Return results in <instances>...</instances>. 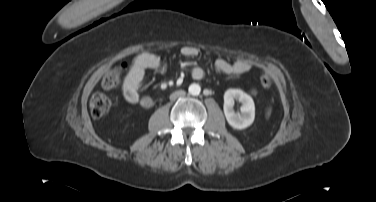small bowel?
Returning a JSON list of instances; mask_svg holds the SVG:
<instances>
[{
    "mask_svg": "<svg viewBox=\"0 0 376 202\" xmlns=\"http://www.w3.org/2000/svg\"><path fill=\"white\" fill-rule=\"evenodd\" d=\"M180 52L181 55L186 58H193L198 55L199 50L193 46H184L181 48ZM250 68V64L244 60L228 62L223 59H218L214 63L215 71L226 75L243 74ZM147 69L164 72L166 70V65L157 55L153 53L143 52L138 54L134 58L122 84L123 97L128 103H138L140 99V85ZM190 74L192 78L196 80H202L206 77L205 71L200 67H191Z\"/></svg>",
    "mask_w": 376,
    "mask_h": 202,
    "instance_id": "small-bowel-1",
    "label": "small bowel"
}]
</instances>
